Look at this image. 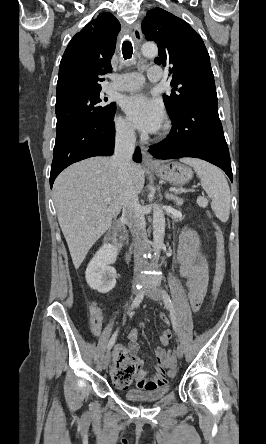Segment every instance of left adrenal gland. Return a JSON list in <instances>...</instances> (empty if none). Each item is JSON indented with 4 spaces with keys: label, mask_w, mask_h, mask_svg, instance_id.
Instances as JSON below:
<instances>
[{
    "label": "left adrenal gland",
    "mask_w": 266,
    "mask_h": 444,
    "mask_svg": "<svg viewBox=\"0 0 266 444\" xmlns=\"http://www.w3.org/2000/svg\"><path fill=\"white\" fill-rule=\"evenodd\" d=\"M165 198L168 201H173L177 206L182 205V202H183L181 198H179V197H177V196H175L173 194H169L167 192H165Z\"/></svg>",
    "instance_id": "1"
}]
</instances>
